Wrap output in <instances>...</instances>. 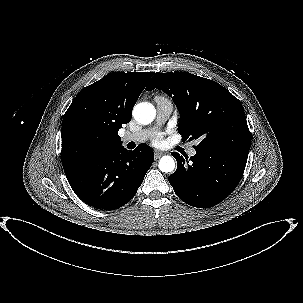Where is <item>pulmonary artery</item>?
Wrapping results in <instances>:
<instances>
[{
    "label": "pulmonary artery",
    "mask_w": 303,
    "mask_h": 303,
    "mask_svg": "<svg viewBox=\"0 0 303 303\" xmlns=\"http://www.w3.org/2000/svg\"><path fill=\"white\" fill-rule=\"evenodd\" d=\"M155 101H156V106H157L156 122H157V124L160 125V124L164 123L171 115V113L173 111V103L169 99L162 98V97H156ZM150 133H151L150 130H147V129L140 130L137 132H132V133L128 132L122 136L121 141L123 144L131 143V142L141 143L149 137ZM196 144L197 143H195L189 147V149H188L189 156L196 155V150H195Z\"/></svg>",
    "instance_id": "obj_1"
}]
</instances>
